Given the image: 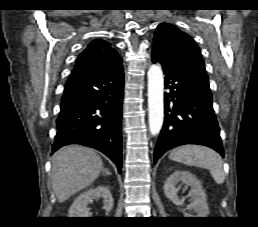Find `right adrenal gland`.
I'll return each mask as SVG.
<instances>
[{"instance_id": "right-adrenal-gland-1", "label": "right adrenal gland", "mask_w": 258, "mask_h": 227, "mask_svg": "<svg viewBox=\"0 0 258 227\" xmlns=\"http://www.w3.org/2000/svg\"><path fill=\"white\" fill-rule=\"evenodd\" d=\"M104 173H105L106 175H111V173H110V171H109L108 169H104Z\"/></svg>"}]
</instances>
